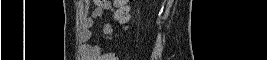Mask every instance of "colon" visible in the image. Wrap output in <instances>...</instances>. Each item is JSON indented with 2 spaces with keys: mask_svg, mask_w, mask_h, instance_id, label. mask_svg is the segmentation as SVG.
I'll return each mask as SVG.
<instances>
[{
  "mask_svg": "<svg viewBox=\"0 0 267 60\" xmlns=\"http://www.w3.org/2000/svg\"><path fill=\"white\" fill-rule=\"evenodd\" d=\"M129 0H117L114 1L116 11L115 18L123 25H127L130 19L131 7L129 6Z\"/></svg>",
  "mask_w": 267,
  "mask_h": 60,
  "instance_id": "1",
  "label": "colon"
}]
</instances>
